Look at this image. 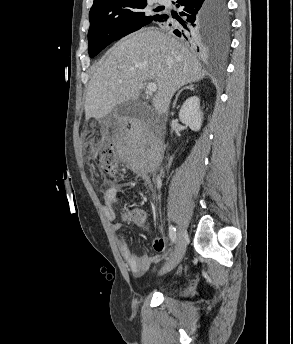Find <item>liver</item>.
Here are the masks:
<instances>
[{
	"instance_id": "obj_1",
	"label": "liver",
	"mask_w": 293,
	"mask_h": 344,
	"mask_svg": "<svg viewBox=\"0 0 293 344\" xmlns=\"http://www.w3.org/2000/svg\"><path fill=\"white\" fill-rule=\"evenodd\" d=\"M204 77L200 62L175 37L152 28L141 30L115 45L91 78L86 120H99L117 105L138 99L147 81L157 85L152 104L164 114L178 89Z\"/></svg>"
}]
</instances>
